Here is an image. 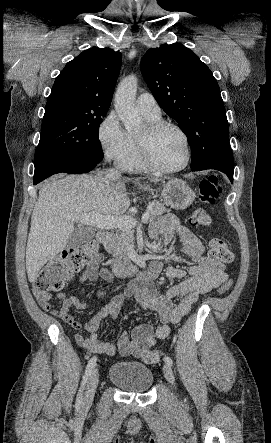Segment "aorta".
Masks as SVG:
<instances>
[{
    "label": "aorta",
    "mask_w": 271,
    "mask_h": 443,
    "mask_svg": "<svg viewBox=\"0 0 271 443\" xmlns=\"http://www.w3.org/2000/svg\"><path fill=\"white\" fill-rule=\"evenodd\" d=\"M137 86L138 78L136 76H126L118 84L115 94V110L127 132L140 130L142 126V116H140L139 108L135 106Z\"/></svg>",
    "instance_id": "762f6f07"
}]
</instances>
